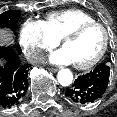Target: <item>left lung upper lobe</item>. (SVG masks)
Instances as JSON below:
<instances>
[{"instance_id":"5c2ea615","label":"left lung upper lobe","mask_w":117,"mask_h":117,"mask_svg":"<svg viewBox=\"0 0 117 117\" xmlns=\"http://www.w3.org/2000/svg\"><path fill=\"white\" fill-rule=\"evenodd\" d=\"M109 62H111V60H110V59H108L106 63L108 64Z\"/></svg>"}]
</instances>
